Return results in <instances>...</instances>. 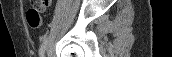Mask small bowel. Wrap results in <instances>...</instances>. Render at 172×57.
<instances>
[{
	"label": "small bowel",
	"mask_w": 172,
	"mask_h": 57,
	"mask_svg": "<svg viewBox=\"0 0 172 57\" xmlns=\"http://www.w3.org/2000/svg\"><path fill=\"white\" fill-rule=\"evenodd\" d=\"M52 1L51 0H44L41 5L40 8L42 10H44L45 8L49 7L51 5Z\"/></svg>",
	"instance_id": "obj_1"
}]
</instances>
